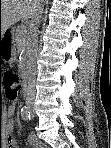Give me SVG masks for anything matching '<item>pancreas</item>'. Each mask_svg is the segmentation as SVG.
<instances>
[{
  "mask_svg": "<svg viewBox=\"0 0 111 148\" xmlns=\"http://www.w3.org/2000/svg\"><path fill=\"white\" fill-rule=\"evenodd\" d=\"M15 42L17 45V49L19 52L23 53V58H26L27 56V51L29 48V34L26 31V27L23 25H20L16 29V34H15ZM23 59L20 61V63H23ZM21 69H24L21 67Z\"/></svg>",
  "mask_w": 111,
  "mask_h": 148,
  "instance_id": "1",
  "label": "pancreas"
}]
</instances>
